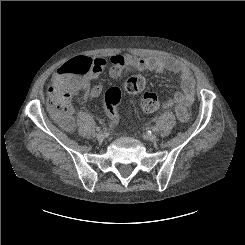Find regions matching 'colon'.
I'll return each mask as SVG.
<instances>
[{"label": "colon", "mask_w": 245, "mask_h": 245, "mask_svg": "<svg viewBox=\"0 0 245 245\" xmlns=\"http://www.w3.org/2000/svg\"><path fill=\"white\" fill-rule=\"evenodd\" d=\"M100 63L95 59L77 55L69 59L62 68L63 77L54 81L48 90V107L53 119L66 130H70L74 125L72 116L71 91L81 88L89 80L102 72ZM146 86L145 78L140 75H132L125 83L124 89L130 95H137L144 91ZM122 99V92L119 88L113 87L106 91L104 97L105 114L110 125L117 123V110ZM161 101L156 93L145 92L142 97V109L151 113L158 109ZM178 119L185 123L188 121L189 113L182 102L175 106Z\"/></svg>", "instance_id": "obj_1"}]
</instances>
